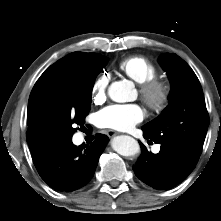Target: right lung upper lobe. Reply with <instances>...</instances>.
Returning a JSON list of instances; mask_svg holds the SVG:
<instances>
[{
    "instance_id": "1",
    "label": "right lung upper lobe",
    "mask_w": 221,
    "mask_h": 221,
    "mask_svg": "<svg viewBox=\"0 0 221 221\" xmlns=\"http://www.w3.org/2000/svg\"><path fill=\"white\" fill-rule=\"evenodd\" d=\"M100 54L73 52L58 60L51 65L37 80L34 85L30 96H33L44 84L50 79L61 73L62 71L69 69L77 64L88 61L94 57H98Z\"/></svg>"
}]
</instances>
